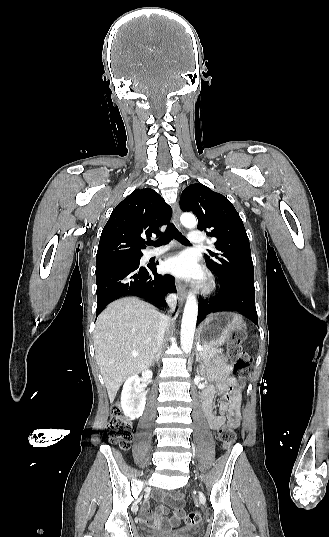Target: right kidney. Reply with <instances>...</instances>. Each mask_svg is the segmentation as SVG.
I'll list each match as a JSON object with an SVG mask.
<instances>
[{"instance_id": "obj_1", "label": "right kidney", "mask_w": 329, "mask_h": 537, "mask_svg": "<svg viewBox=\"0 0 329 537\" xmlns=\"http://www.w3.org/2000/svg\"><path fill=\"white\" fill-rule=\"evenodd\" d=\"M152 376V371L145 370L142 372V378L136 374L131 375L123 385L121 408L124 415L131 420L142 416L146 404V396L141 392L140 381L142 379L149 381Z\"/></svg>"}]
</instances>
